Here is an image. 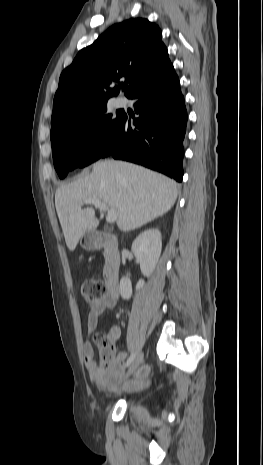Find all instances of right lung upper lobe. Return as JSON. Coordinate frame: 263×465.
Returning a JSON list of instances; mask_svg holds the SVG:
<instances>
[{
  "mask_svg": "<svg viewBox=\"0 0 263 465\" xmlns=\"http://www.w3.org/2000/svg\"><path fill=\"white\" fill-rule=\"evenodd\" d=\"M171 66L158 26L143 18L115 24L62 72L51 123L74 110L107 102L120 92V81L128 85L125 95L129 97ZM113 82L119 87L112 88Z\"/></svg>",
  "mask_w": 263,
  "mask_h": 465,
  "instance_id": "obj_1",
  "label": "right lung upper lobe"
}]
</instances>
